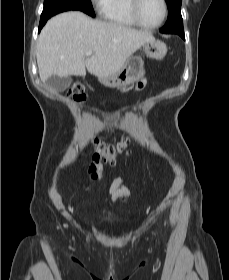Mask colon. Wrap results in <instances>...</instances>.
<instances>
[{
    "label": "colon",
    "instance_id": "1",
    "mask_svg": "<svg viewBox=\"0 0 229 280\" xmlns=\"http://www.w3.org/2000/svg\"><path fill=\"white\" fill-rule=\"evenodd\" d=\"M69 96L76 103H81L86 99L85 87L82 83H74L70 86ZM131 142L128 137H124L116 145H106L101 143L98 140H95L92 144L91 152V164L89 171L91 173V178L96 180L98 178L97 173L95 172V166L100 162L104 161L109 164H115L116 158L119 155L131 154Z\"/></svg>",
    "mask_w": 229,
    "mask_h": 280
}]
</instances>
